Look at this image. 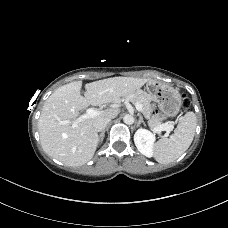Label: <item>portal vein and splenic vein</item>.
<instances>
[{"label":"portal vein and splenic vein","mask_w":228,"mask_h":228,"mask_svg":"<svg viewBox=\"0 0 228 228\" xmlns=\"http://www.w3.org/2000/svg\"><path fill=\"white\" fill-rule=\"evenodd\" d=\"M134 105L139 112H142L143 108H142V105L140 103L137 102ZM99 113L100 112H98L97 110H95L93 108H89V109H87L85 114H83L82 116H80L78 118V121H82V120L87 119V118H93V117L97 116ZM172 129H173L172 125L170 126L168 124H163L160 127H158L157 131H167V134H169V132Z\"/></svg>","instance_id":"1"}]
</instances>
